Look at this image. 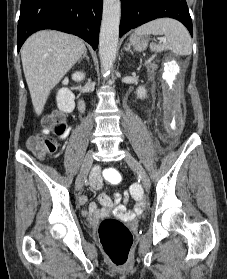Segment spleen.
I'll use <instances>...</instances> for the list:
<instances>
[{"label": "spleen", "instance_id": "obj_1", "mask_svg": "<svg viewBox=\"0 0 227 279\" xmlns=\"http://www.w3.org/2000/svg\"><path fill=\"white\" fill-rule=\"evenodd\" d=\"M135 34L164 35L163 44L151 46L153 51L172 50L177 55H190L192 53L191 38L186 28L174 19L163 18L151 21L137 28Z\"/></svg>", "mask_w": 227, "mask_h": 279}]
</instances>
